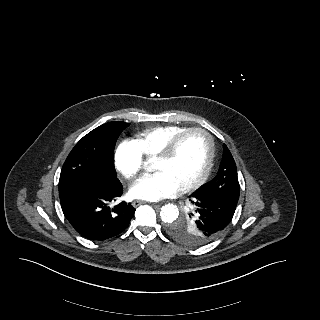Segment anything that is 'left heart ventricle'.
<instances>
[{
  "instance_id": "b2bd125f",
  "label": "left heart ventricle",
  "mask_w": 320,
  "mask_h": 320,
  "mask_svg": "<svg viewBox=\"0 0 320 320\" xmlns=\"http://www.w3.org/2000/svg\"><path fill=\"white\" fill-rule=\"evenodd\" d=\"M208 152L206 137L200 133H193L181 141L170 160L155 161L152 169L156 173L166 174L181 188L202 173Z\"/></svg>"
}]
</instances>
